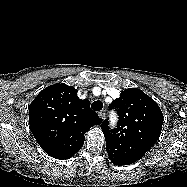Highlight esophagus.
Instances as JSON below:
<instances>
[{
	"label": "esophagus",
	"mask_w": 187,
	"mask_h": 187,
	"mask_svg": "<svg viewBox=\"0 0 187 187\" xmlns=\"http://www.w3.org/2000/svg\"><path fill=\"white\" fill-rule=\"evenodd\" d=\"M98 116H99L101 119H104L105 116H106L105 110H102V111L98 112Z\"/></svg>",
	"instance_id": "34e87169"
}]
</instances>
